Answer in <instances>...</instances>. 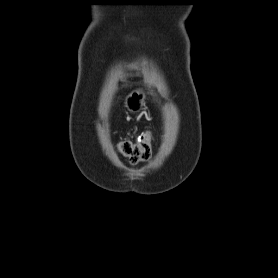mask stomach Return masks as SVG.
I'll return each mask as SVG.
<instances>
[{
  "label": "stomach",
  "instance_id": "0dacf381",
  "mask_svg": "<svg viewBox=\"0 0 278 278\" xmlns=\"http://www.w3.org/2000/svg\"><path fill=\"white\" fill-rule=\"evenodd\" d=\"M146 94L143 89H135L125 98V107L131 113H138L145 107Z\"/></svg>",
  "mask_w": 278,
  "mask_h": 278
}]
</instances>
